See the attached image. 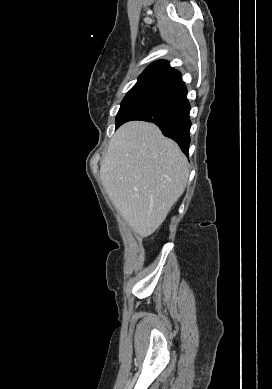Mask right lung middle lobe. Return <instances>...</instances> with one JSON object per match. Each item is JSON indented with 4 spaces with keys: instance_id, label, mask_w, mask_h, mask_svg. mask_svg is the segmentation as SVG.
I'll use <instances>...</instances> for the list:
<instances>
[{
    "instance_id": "obj_1",
    "label": "right lung middle lobe",
    "mask_w": 272,
    "mask_h": 389,
    "mask_svg": "<svg viewBox=\"0 0 272 389\" xmlns=\"http://www.w3.org/2000/svg\"><path fill=\"white\" fill-rule=\"evenodd\" d=\"M162 86L157 84H149V83H138L135 84L130 91L126 94L124 99L121 102L120 109L116 116V127L121 123L123 118L127 115V113L146 99L151 94L158 91Z\"/></svg>"
}]
</instances>
